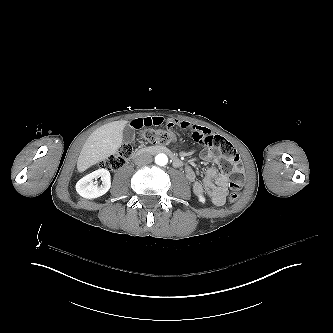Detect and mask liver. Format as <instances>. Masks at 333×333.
<instances>
[{"mask_svg": "<svg viewBox=\"0 0 333 333\" xmlns=\"http://www.w3.org/2000/svg\"><path fill=\"white\" fill-rule=\"evenodd\" d=\"M127 124L126 120L113 121L92 132L78 157V172H84L92 165L115 154L122 145V132Z\"/></svg>", "mask_w": 333, "mask_h": 333, "instance_id": "6515ba94", "label": "liver"}]
</instances>
